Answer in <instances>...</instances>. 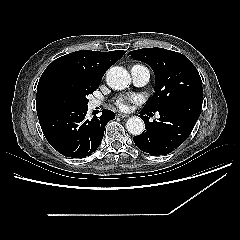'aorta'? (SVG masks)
Here are the masks:
<instances>
[{
  "label": "aorta",
  "mask_w": 240,
  "mask_h": 240,
  "mask_svg": "<svg viewBox=\"0 0 240 240\" xmlns=\"http://www.w3.org/2000/svg\"><path fill=\"white\" fill-rule=\"evenodd\" d=\"M106 82L114 90H123L130 85V74L126 69L119 66L111 67L106 73ZM126 128L132 135H140L144 131L145 124L137 116L129 118L126 122Z\"/></svg>",
  "instance_id": "obj_1"
}]
</instances>
